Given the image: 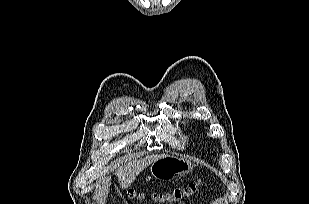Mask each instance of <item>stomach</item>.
<instances>
[{"mask_svg": "<svg viewBox=\"0 0 309 204\" xmlns=\"http://www.w3.org/2000/svg\"><path fill=\"white\" fill-rule=\"evenodd\" d=\"M192 163L176 156H163L151 163L149 171L155 179L170 181L192 170Z\"/></svg>", "mask_w": 309, "mask_h": 204, "instance_id": "0dacf381", "label": "stomach"}]
</instances>
